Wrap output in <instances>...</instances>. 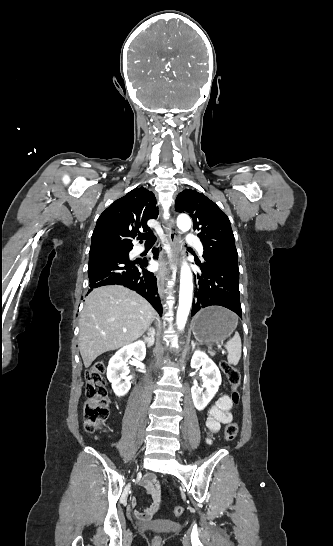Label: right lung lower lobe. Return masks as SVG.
I'll list each match as a JSON object with an SVG mask.
<instances>
[{"label":"right lung lower lobe","instance_id":"98d812e1","mask_svg":"<svg viewBox=\"0 0 333 546\" xmlns=\"http://www.w3.org/2000/svg\"><path fill=\"white\" fill-rule=\"evenodd\" d=\"M88 276L91 292L94 288L104 285H123L146 298L156 311L162 315L156 277L149 272L146 259L130 260L129 253L121 247H104L92 249L89 252ZM154 258H158V249L153 250Z\"/></svg>","mask_w":333,"mask_h":546}]
</instances>
